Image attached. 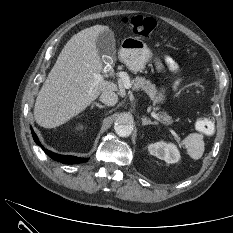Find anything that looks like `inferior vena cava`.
Listing matches in <instances>:
<instances>
[{
  "label": "inferior vena cava",
  "instance_id": "inferior-vena-cava-1",
  "mask_svg": "<svg viewBox=\"0 0 233 233\" xmlns=\"http://www.w3.org/2000/svg\"><path fill=\"white\" fill-rule=\"evenodd\" d=\"M100 101L107 106H114L118 102V96L113 91H105L101 94Z\"/></svg>",
  "mask_w": 233,
  "mask_h": 233
}]
</instances>
